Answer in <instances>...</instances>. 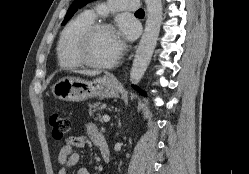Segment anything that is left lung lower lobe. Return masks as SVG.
Listing matches in <instances>:
<instances>
[{
	"instance_id": "obj_1",
	"label": "left lung lower lobe",
	"mask_w": 249,
	"mask_h": 174,
	"mask_svg": "<svg viewBox=\"0 0 249 174\" xmlns=\"http://www.w3.org/2000/svg\"><path fill=\"white\" fill-rule=\"evenodd\" d=\"M139 93H141L142 94V92H141V90L138 88V87H136V86H133Z\"/></svg>"
}]
</instances>
